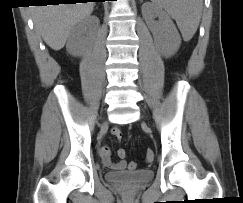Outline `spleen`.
<instances>
[{
    "label": "spleen",
    "instance_id": "obj_1",
    "mask_svg": "<svg viewBox=\"0 0 243 203\" xmlns=\"http://www.w3.org/2000/svg\"><path fill=\"white\" fill-rule=\"evenodd\" d=\"M157 7L164 8L177 23L184 41H189L199 26L203 0H151Z\"/></svg>",
    "mask_w": 243,
    "mask_h": 203
}]
</instances>
